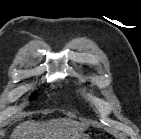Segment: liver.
<instances>
[{
  "label": "liver",
  "mask_w": 141,
  "mask_h": 139,
  "mask_svg": "<svg viewBox=\"0 0 141 139\" xmlns=\"http://www.w3.org/2000/svg\"><path fill=\"white\" fill-rule=\"evenodd\" d=\"M86 126L69 118L21 122L10 139H80Z\"/></svg>",
  "instance_id": "liver-1"
}]
</instances>
